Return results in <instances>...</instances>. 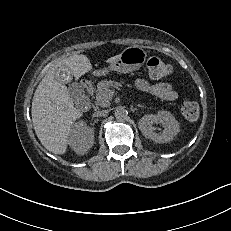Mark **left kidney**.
<instances>
[{
	"label": "left kidney",
	"instance_id": "left-kidney-1",
	"mask_svg": "<svg viewBox=\"0 0 231 231\" xmlns=\"http://www.w3.org/2000/svg\"><path fill=\"white\" fill-rule=\"evenodd\" d=\"M154 124H161L163 126L162 133H156ZM142 134L156 142L164 143L173 140L179 133L180 125L175 117L168 111L161 110L157 114L144 115L138 123Z\"/></svg>",
	"mask_w": 231,
	"mask_h": 231
}]
</instances>
